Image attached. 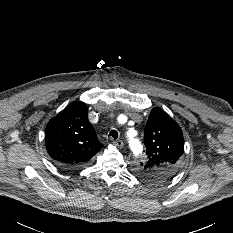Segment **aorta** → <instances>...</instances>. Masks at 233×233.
Masks as SVG:
<instances>
[{"mask_svg": "<svg viewBox=\"0 0 233 233\" xmlns=\"http://www.w3.org/2000/svg\"><path fill=\"white\" fill-rule=\"evenodd\" d=\"M129 143H130V147L134 155L137 156L142 153V144L137 138L129 135Z\"/></svg>", "mask_w": 233, "mask_h": 233, "instance_id": "1", "label": "aorta"}]
</instances>
